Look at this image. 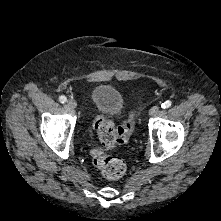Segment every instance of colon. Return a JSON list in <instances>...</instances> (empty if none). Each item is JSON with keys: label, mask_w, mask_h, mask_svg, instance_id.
I'll return each instance as SVG.
<instances>
[{"label": "colon", "mask_w": 221, "mask_h": 221, "mask_svg": "<svg viewBox=\"0 0 221 221\" xmlns=\"http://www.w3.org/2000/svg\"><path fill=\"white\" fill-rule=\"evenodd\" d=\"M134 112H130L129 118L121 125L115 126L112 122L103 117L94 120V129L97 131L100 141L104 148H113L118 145L126 144L133 131ZM91 157L95 166L107 179L115 180L121 178L126 166L122 159L110 156L103 148L92 150Z\"/></svg>", "instance_id": "1"}]
</instances>
